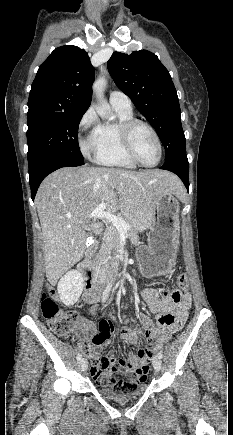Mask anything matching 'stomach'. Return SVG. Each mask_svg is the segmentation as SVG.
<instances>
[{
	"label": "stomach",
	"mask_w": 233,
	"mask_h": 435,
	"mask_svg": "<svg viewBox=\"0 0 233 435\" xmlns=\"http://www.w3.org/2000/svg\"><path fill=\"white\" fill-rule=\"evenodd\" d=\"M180 206L174 193L163 196L153 213L148 245L137 249L142 276L153 278L168 274L175 265L180 236Z\"/></svg>",
	"instance_id": "1"
}]
</instances>
